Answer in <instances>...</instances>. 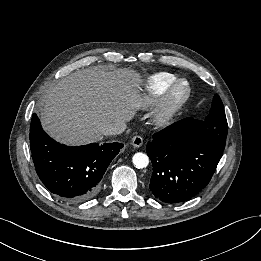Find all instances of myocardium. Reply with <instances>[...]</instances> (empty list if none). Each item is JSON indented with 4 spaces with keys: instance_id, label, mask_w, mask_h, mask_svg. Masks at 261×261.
I'll return each instance as SVG.
<instances>
[{
    "instance_id": "obj_1",
    "label": "myocardium",
    "mask_w": 261,
    "mask_h": 261,
    "mask_svg": "<svg viewBox=\"0 0 261 261\" xmlns=\"http://www.w3.org/2000/svg\"><path fill=\"white\" fill-rule=\"evenodd\" d=\"M184 87L180 93V88ZM191 87L188 80L177 79L166 91L154 115V123L160 128L170 126L190 98Z\"/></svg>"
}]
</instances>
